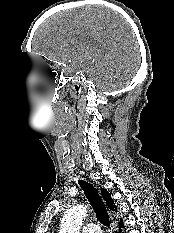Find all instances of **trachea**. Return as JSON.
I'll return each instance as SVG.
<instances>
[{"instance_id":"trachea-1","label":"trachea","mask_w":174,"mask_h":233,"mask_svg":"<svg viewBox=\"0 0 174 233\" xmlns=\"http://www.w3.org/2000/svg\"><path fill=\"white\" fill-rule=\"evenodd\" d=\"M79 185L84 191L88 201L94 209L97 219L105 226H110L109 214L105 204L94 186L86 181L79 180Z\"/></svg>"}]
</instances>
